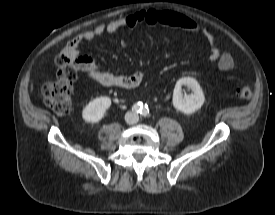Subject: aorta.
Returning a JSON list of instances; mask_svg holds the SVG:
<instances>
[{
  "label": "aorta",
  "mask_w": 275,
  "mask_h": 215,
  "mask_svg": "<svg viewBox=\"0 0 275 215\" xmlns=\"http://www.w3.org/2000/svg\"><path fill=\"white\" fill-rule=\"evenodd\" d=\"M142 112H146V108H143V109H142Z\"/></svg>",
  "instance_id": "aorta-1"
}]
</instances>
